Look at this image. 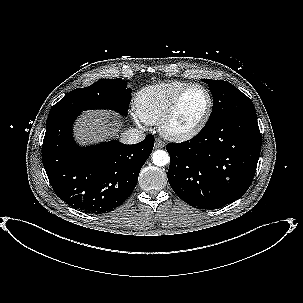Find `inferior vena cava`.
<instances>
[{
  "label": "inferior vena cava",
  "instance_id": "602c4592",
  "mask_svg": "<svg viewBox=\"0 0 303 303\" xmlns=\"http://www.w3.org/2000/svg\"><path fill=\"white\" fill-rule=\"evenodd\" d=\"M144 139V132L136 128H130L121 134V141L126 144H136Z\"/></svg>",
  "mask_w": 303,
  "mask_h": 303
}]
</instances>
